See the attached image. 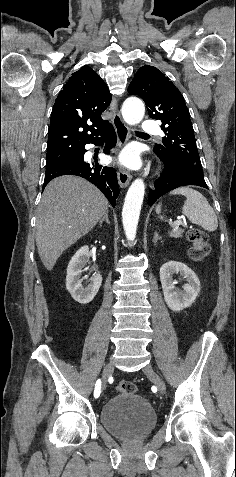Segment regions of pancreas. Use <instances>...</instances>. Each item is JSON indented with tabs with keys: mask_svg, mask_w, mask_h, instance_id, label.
Listing matches in <instances>:
<instances>
[{
	"mask_svg": "<svg viewBox=\"0 0 236 477\" xmlns=\"http://www.w3.org/2000/svg\"><path fill=\"white\" fill-rule=\"evenodd\" d=\"M184 230L183 229H177V230H174L172 232H170V237H173V238H180L182 237V234H183Z\"/></svg>",
	"mask_w": 236,
	"mask_h": 477,
	"instance_id": "obj_1",
	"label": "pancreas"
}]
</instances>
